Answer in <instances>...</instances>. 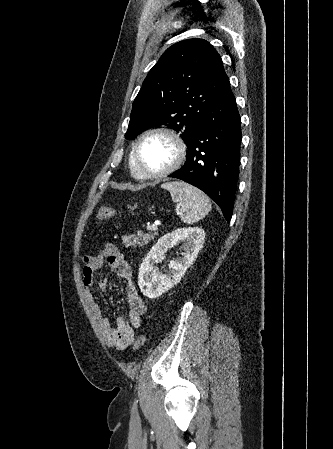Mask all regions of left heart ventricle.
Segmentation results:
<instances>
[{"mask_svg":"<svg viewBox=\"0 0 333 449\" xmlns=\"http://www.w3.org/2000/svg\"><path fill=\"white\" fill-rule=\"evenodd\" d=\"M172 142L163 136H150L140 146L141 166L146 172H157L166 168L174 158Z\"/></svg>","mask_w":333,"mask_h":449,"instance_id":"left-heart-ventricle-1","label":"left heart ventricle"}]
</instances>
